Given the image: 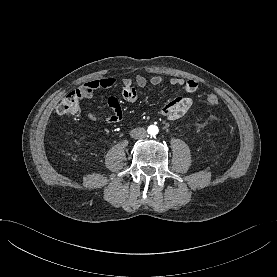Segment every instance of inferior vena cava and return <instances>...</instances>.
Returning a JSON list of instances; mask_svg holds the SVG:
<instances>
[{
  "mask_svg": "<svg viewBox=\"0 0 277 277\" xmlns=\"http://www.w3.org/2000/svg\"><path fill=\"white\" fill-rule=\"evenodd\" d=\"M130 136L134 139H142L147 136V132L144 128H135L131 130Z\"/></svg>",
  "mask_w": 277,
  "mask_h": 277,
  "instance_id": "inferior-vena-cava-1",
  "label": "inferior vena cava"
}]
</instances>
